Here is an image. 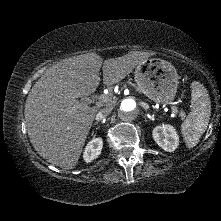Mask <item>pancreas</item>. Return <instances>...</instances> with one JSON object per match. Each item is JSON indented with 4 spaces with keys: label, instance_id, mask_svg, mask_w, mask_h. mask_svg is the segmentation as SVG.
<instances>
[{
    "label": "pancreas",
    "instance_id": "obj_1",
    "mask_svg": "<svg viewBox=\"0 0 221 221\" xmlns=\"http://www.w3.org/2000/svg\"><path fill=\"white\" fill-rule=\"evenodd\" d=\"M106 97L108 98V104H113L112 95L108 94V95H106ZM181 116L184 117V114H182Z\"/></svg>",
    "mask_w": 221,
    "mask_h": 221
}]
</instances>
